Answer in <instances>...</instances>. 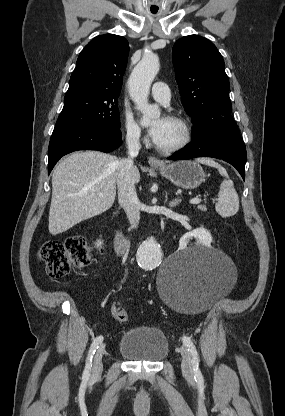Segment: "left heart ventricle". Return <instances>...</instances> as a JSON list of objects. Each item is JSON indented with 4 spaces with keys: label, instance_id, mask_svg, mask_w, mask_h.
Instances as JSON below:
<instances>
[{
    "label": "left heart ventricle",
    "instance_id": "b2bd125f",
    "mask_svg": "<svg viewBox=\"0 0 285 416\" xmlns=\"http://www.w3.org/2000/svg\"><path fill=\"white\" fill-rule=\"evenodd\" d=\"M181 135L182 133L180 128L167 119L165 133L158 146L164 148L171 147L175 145L177 142H179V140L181 139Z\"/></svg>",
    "mask_w": 285,
    "mask_h": 416
}]
</instances>
